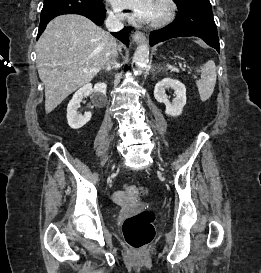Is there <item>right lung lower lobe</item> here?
Masks as SVG:
<instances>
[{"label": "right lung lower lobe", "instance_id": "obj_1", "mask_svg": "<svg viewBox=\"0 0 261 273\" xmlns=\"http://www.w3.org/2000/svg\"><path fill=\"white\" fill-rule=\"evenodd\" d=\"M103 0H44V6L41 11V21L37 38L45 30L48 22L56 16L63 14H80L95 24L101 25L105 19L106 9ZM127 46L129 45L128 28L119 32L112 33Z\"/></svg>", "mask_w": 261, "mask_h": 273}]
</instances>
